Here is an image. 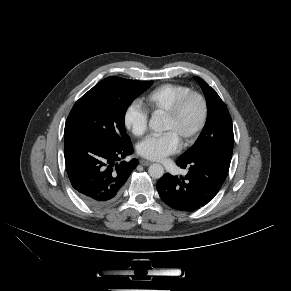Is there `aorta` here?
<instances>
[{"mask_svg":"<svg viewBox=\"0 0 291 291\" xmlns=\"http://www.w3.org/2000/svg\"><path fill=\"white\" fill-rule=\"evenodd\" d=\"M149 127L155 132H161L164 130L163 119L159 116H152L149 121ZM149 175L154 179H159L164 174V168L158 163L151 164L148 168Z\"/></svg>","mask_w":291,"mask_h":291,"instance_id":"aorta-1","label":"aorta"}]
</instances>
